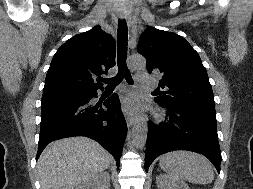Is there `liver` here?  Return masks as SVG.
<instances>
[{"instance_id":"liver-1","label":"liver","mask_w":253,"mask_h":189,"mask_svg":"<svg viewBox=\"0 0 253 189\" xmlns=\"http://www.w3.org/2000/svg\"><path fill=\"white\" fill-rule=\"evenodd\" d=\"M112 156L96 141L69 137L50 143L39 157L41 189H73L106 170Z\"/></svg>"}]
</instances>
